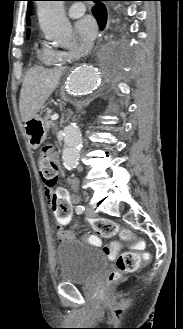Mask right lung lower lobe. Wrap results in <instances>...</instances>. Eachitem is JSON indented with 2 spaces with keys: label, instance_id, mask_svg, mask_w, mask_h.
Wrapping results in <instances>:
<instances>
[{
  "label": "right lung lower lobe",
  "instance_id": "98d812e1",
  "mask_svg": "<svg viewBox=\"0 0 183 329\" xmlns=\"http://www.w3.org/2000/svg\"><path fill=\"white\" fill-rule=\"evenodd\" d=\"M93 1L95 3H97L92 9L93 15L95 16L96 20L98 21L100 28L103 29L106 24V20H107L106 8H105L104 4L101 3V1H103V0H93Z\"/></svg>",
  "mask_w": 183,
  "mask_h": 329
}]
</instances>
